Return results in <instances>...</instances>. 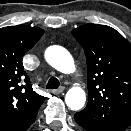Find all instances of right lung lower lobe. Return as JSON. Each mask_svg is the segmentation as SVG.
Instances as JSON below:
<instances>
[{
  "label": "right lung lower lobe",
  "mask_w": 131,
  "mask_h": 131,
  "mask_svg": "<svg viewBox=\"0 0 131 131\" xmlns=\"http://www.w3.org/2000/svg\"><path fill=\"white\" fill-rule=\"evenodd\" d=\"M36 115L37 114L18 124H9V125L1 124L4 128L0 125V131H26L29 128V126L35 121Z\"/></svg>",
  "instance_id": "98d812e1"
}]
</instances>
